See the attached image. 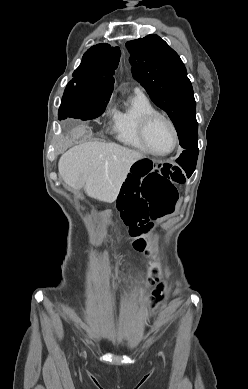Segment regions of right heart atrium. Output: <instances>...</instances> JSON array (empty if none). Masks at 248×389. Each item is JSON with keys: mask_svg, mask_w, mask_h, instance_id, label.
I'll return each instance as SVG.
<instances>
[{"mask_svg": "<svg viewBox=\"0 0 248 389\" xmlns=\"http://www.w3.org/2000/svg\"><path fill=\"white\" fill-rule=\"evenodd\" d=\"M111 112H112V109L110 107H107L106 113H111Z\"/></svg>", "mask_w": 248, "mask_h": 389, "instance_id": "obj_1", "label": "right heart atrium"}]
</instances>
